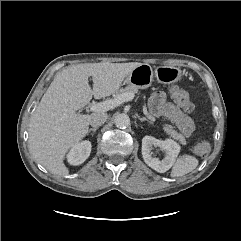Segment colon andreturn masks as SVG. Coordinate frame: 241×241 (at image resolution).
<instances>
[{"label": "colon", "mask_w": 241, "mask_h": 241, "mask_svg": "<svg viewBox=\"0 0 241 241\" xmlns=\"http://www.w3.org/2000/svg\"><path fill=\"white\" fill-rule=\"evenodd\" d=\"M170 95L175 101V103L182 108L188 114H193L195 112V106L190 101L188 94L177 86H173L170 89ZM210 151V145L207 142H201L196 145L195 152L201 157L208 155Z\"/></svg>", "instance_id": "obj_1"}]
</instances>
